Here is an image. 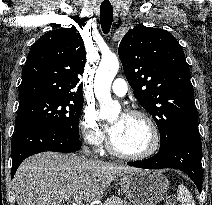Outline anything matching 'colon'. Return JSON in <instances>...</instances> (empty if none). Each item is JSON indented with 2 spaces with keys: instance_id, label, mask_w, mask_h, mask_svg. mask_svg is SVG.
<instances>
[{
  "instance_id": "obj_1",
  "label": "colon",
  "mask_w": 212,
  "mask_h": 205,
  "mask_svg": "<svg viewBox=\"0 0 212 205\" xmlns=\"http://www.w3.org/2000/svg\"><path fill=\"white\" fill-rule=\"evenodd\" d=\"M165 205H176V201H175L174 197H173V196H170V197L167 199Z\"/></svg>"
}]
</instances>
